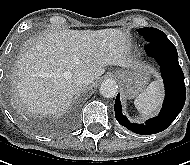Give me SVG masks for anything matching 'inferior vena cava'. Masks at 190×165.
<instances>
[{"instance_id": "inferior-vena-cava-1", "label": "inferior vena cava", "mask_w": 190, "mask_h": 165, "mask_svg": "<svg viewBox=\"0 0 190 165\" xmlns=\"http://www.w3.org/2000/svg\"><path fill=\"white\" fill-rule=\"evenodd\" d=\"M73 81L77 87H84L93 82V77L85 71H80L74 74Z\"/></svg>"}]
</instances>
